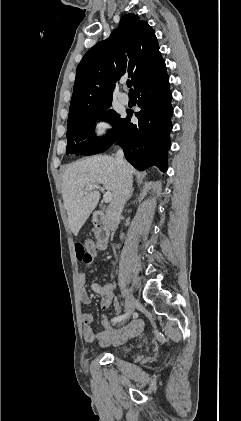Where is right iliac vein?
<instances>
[{"mask_svg":"<svg viewBox=\"0 0 241 421\" xmlns=\"http://www.w3.org/2000/svg\"><path fill=\"white\" fill-rule=\"evenodd\" d=\"M135 305H136V299L132 295H128L126 299V308H127L126 313L128 314L126 319L130 318V316L132 315Z\"/></svg>","mask_w":241,"mask_h":421,"instance_id":"1","label":"right iliac vein"}]
</instances>
